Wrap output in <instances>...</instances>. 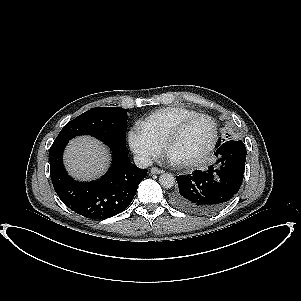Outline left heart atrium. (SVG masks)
<instances>
[{
	"label": "left heart atrium",
	"mask_w": 301,
	"mask_h": 301,
	"mask_svg": "<svg viewBox=\"0 0 301 301\" xmlns=\"http://www.w3.org/2000/svg\"><path fill=\"white\" fill-rule=\"evenodd\" d=\"M168 161L176 166H181L184 164V162L182 160H180L179 158H177L176 156L172 155V154H168Z\"/></svg>",
	"instance_id": "39dd6f15"
}]
</instances>
